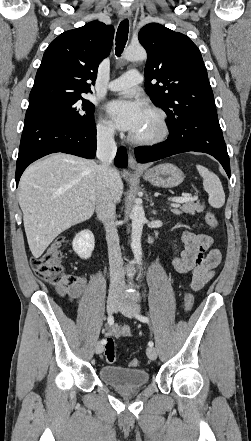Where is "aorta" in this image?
Masks as SVG:
<instances>
[{"label":"aorta","instance_id":"aorta-1","mask_svg":"<svg viewBox=\"0 0 251 441\" xmlns=\"http://www.w3.org/2000/svg\"><path fill=\"white\" fill-rule=\"evenodd\" d=\"M123 58L128 61H144L147 58V53L142 47H128L123 54ZM130 217L132 220L131 248L136 262L141 264V236L145 221V213L141 200H135Z\"/></svg>","mask_w":251,"mask_h":441}]
</instances>
